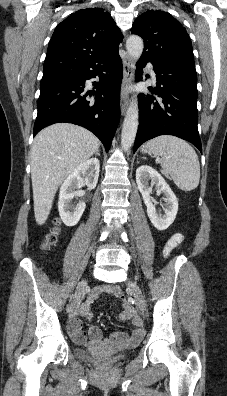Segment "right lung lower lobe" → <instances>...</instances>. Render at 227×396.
<instances>
[{
	"instance_id": "98d812e1",
	"label": "right lung lower lobe",
	"mask_w": 227,
	"mask_h": 396,
	"mask_svg": "<svg viewBox=\"0 0 227 396\" xmlns=\"http://www.w3.org/2000/svg\"><path fill=\"white\" fill-rule=\"evenodd\" d=\"M99 75L94 91L85 81ZM123 76L118 51L83 65L43 72L34 136L60 122L73 123L93 132L108 152L120 119V85ZM95 95L94 100L86 96Z\"/></svg>"
}]
</instances>
